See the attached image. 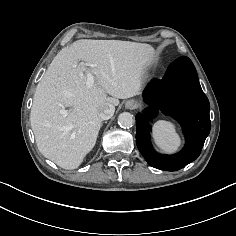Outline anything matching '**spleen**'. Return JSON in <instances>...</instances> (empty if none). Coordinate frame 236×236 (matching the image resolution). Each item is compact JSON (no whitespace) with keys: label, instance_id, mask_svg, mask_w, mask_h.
Returning a JSON list of instances; mask_svg holds the SVG:
<instances>
[{"label":"spleen","instance_id":"1","mask_svg":"<svg viewBox=\"0 0 236 236\" xmlns=\"http://www.w3.org/2000/svg\"><path fill=\"white\" fill-rule=\"evenodd\" d=\"M153 139L155 144L167 153H173L181 145V139L176 127L169 121L159 120L153 126Z\"/></svg>","mask_w":236,"mask_h":236}]
</instances>
